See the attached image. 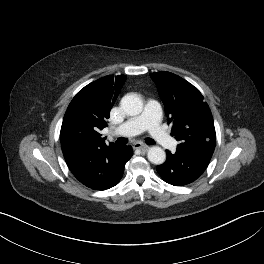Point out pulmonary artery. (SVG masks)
Listing matches in <instances>:
<instances>
[{
    "mask_svg": "<svg viewBox=\"0 0 264 264\" xmlns=\"http://www.w3.org/2000/svg\"><path fill=\"white\" fill-rule=\"evenodd\" d=\"M161 106L155 100H149L146 103L144 112L134 117L116 129V134L121 136H133L148 130L150 136L164 148H171L175 141L163 129L160 124Z\"/></svg>",
    "mask_w": 264,
    "mask_h": 264,
    "instance_id": "pulmonary-artery-1",
    "label": "pulmonary artery"
}]
</instances>
